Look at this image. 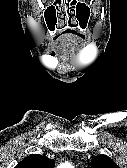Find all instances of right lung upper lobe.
I'll use <instances>...</instances> for the list:
<instances>
[{"label":"right lung upper lobe","mask_w":127,"mask_h":168,"mask_svg":"<svg viewBox=\"0 0 127 168\" xmlns=\"http://www.w3.org/2000/svg\"><path fill=\"white\" fill-rule=\"evenodd\" d=\"M55 162L46 156L32 154L25 158L15 168H53Z\"/></svg>","instance_id":"obj_1"}]
</instances>
